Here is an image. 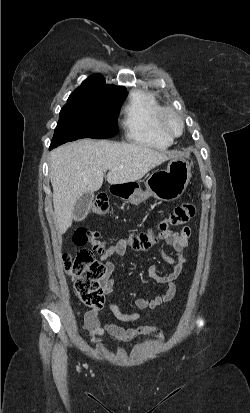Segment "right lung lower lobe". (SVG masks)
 Masks as SVG:
<instances>
[{"instance_id": "right-lung-lower-lobe-1", "label": "right lung lower lobe", "mask_w": 250, "mask_h": 413, "mask_svg": "<svg viewBox=\"0 0 250 413\" xmlns=\"http://www.w3.org/2000/svg\"><path fill=\"white\" fill-rule=\"evenodd\" d=\"M53 148H54V147H51V146H50V150L53 149Z\"/></svg>"}]
</instances>
